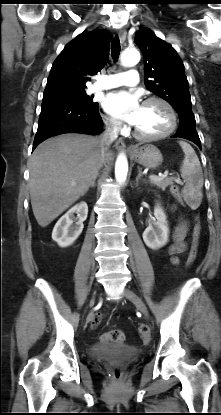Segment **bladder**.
<instances>
[{"label":"bladder","instance_id":"31cf9c89","mask_svg":"<svg viewBox=\"0 0 221 415\" xmlns=\"http://www.w3.org/2000/svg\"><path fill=\"white\" fill-rule=\"evenodd\" d=\"M136 347L127 344L106 343L90 349V357L97 361L126 363L139 355Z\"/></svg>","mask_w":221,"mask_h":415}]
</instances>
